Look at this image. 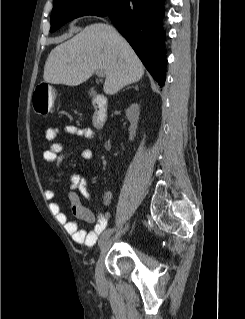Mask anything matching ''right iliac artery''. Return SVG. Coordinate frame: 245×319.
Returning a JSON list of instances; mask_svg holds the SVG:
<instances>
[{"mask_svg": "<svg viewBox=\"0 0 245 319\" xmlns=\"http://www.w3.org/2000/svg\"><path fill=\"white\" fill-rule=\"evenodd\" d=\"M107 231V233L109 234V235H111L113 232H114V229H108V230H106Z\"/></svg>", "mask_w": 245, "mask_h": 319, "instance_id": "82829eb1", "label": "right iliac artery"}]
</instances>
